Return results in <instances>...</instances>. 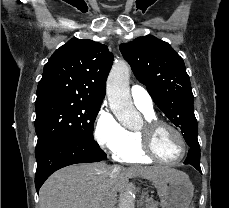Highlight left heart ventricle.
<instances>
[{"label": "left heart ventricle", "mask_w": 229, "mask_h": 208, "mask_svg": "<svg viewBox=\"0 0 229 208\" xmlns=\"http://www.w3.org/2000/svg\"><path fill=\"white\" fill-rule=\"evenodd\" d=\"M170 130L161 128L157 131L155 139H151L152 152H156V157H161V160H176L185 152V147H178V143H174L172 135L169 134Z\"/></svg>", "instance_id": "1"}]
</instances>
